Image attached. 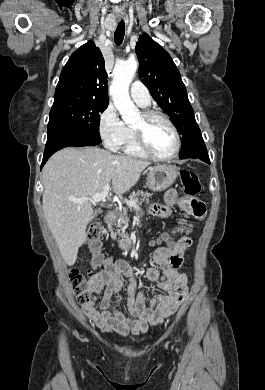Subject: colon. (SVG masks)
<instances>
[{
	"label": "colon",
	"mask_w": 265,
	"mask_h": 390,
	"mask_svg": "<svg viewBox=\"0 0 265 390\" xmlns=\"http://www.w3.org/2000/svg\"><path fill=\"white\" fill-rule=\"evenodd\" d=\"M180 179L183 190L187 196L194 197L199 194L201 184L195 173L183 170L180 172ZM185 229H189L188 224L185 225ZM100 236V225L92 224L86 234V244L92 253V263L94 266H99L103 258L99 253ZM69 276L77 302L82 306L90 303L92 300V283L94 282V279L77 269L71 270Z\"/></svg>",
	"instance_id": "5ec220e1"
}]
</instances>
